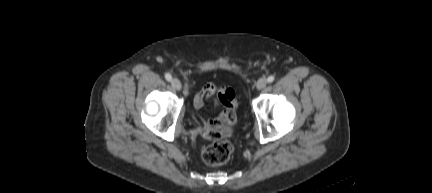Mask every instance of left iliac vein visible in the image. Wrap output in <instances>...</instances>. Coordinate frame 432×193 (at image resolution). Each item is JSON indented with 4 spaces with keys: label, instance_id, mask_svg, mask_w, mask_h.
Listing matches in <instances>:
<instances>
[{
    "label": "left iliac vein",
    "instance_id": "obj_1",
    "mask_svg": "<svg viewBox=\"0 0 432 193\" xmlns=\"http://www.w3.org/2000/svg\"><path fill=\"white\" fill-rule=\"evenodd\" d=\"M266 85H267V80L265 78H261L258 80L256 86H257L258 90H261V89L265 88Z\"/></svg>",
    "mask_w": 432,
    "mask_h": 193
}]
</instances>
